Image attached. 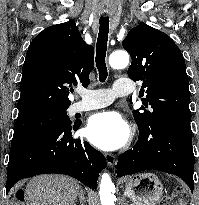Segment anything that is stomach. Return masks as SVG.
<instances>
[{
	"label": "stomach",
	"instance_id": "obj_1",
	"mask_svg": "<svg viewBox=\"0 0 199 205\" xmlns=\"http://www.w3.org/2000/svg\"><path fill=\"white\" fill-rule=\"evenodd\" d=\"M125 193L136 205H156L162 198L163 185L153 173H139L125 178Z\"/></svg>",
	"mask_w": 199,
	"mask_h": 205
}]
</instances>
